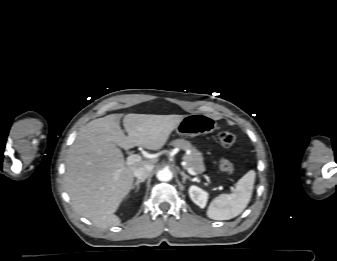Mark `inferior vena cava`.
Returning a JSON list of instances; mask_svg holds the SVG:
<instances>
[{"label": "inferior vena cava", "instance_id": "obj_1", "mask_svg": "<svg viewBox=\"0 0 337 261\" xmlns=\"http://www.w3.org/2000/svg\"><path fill=\"white\" fill-rule=\"evenodd\" d=\"M153 168H154L153 164H146V165L140 166L135 169L134 176L139 180H142V179L145 180L150 175Z\"/></svg>", "mask_w": 337, "mask_h": 261}]
</instances>
